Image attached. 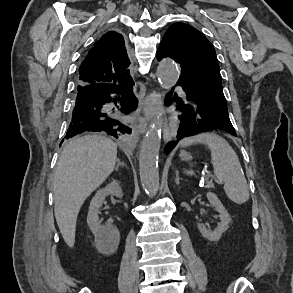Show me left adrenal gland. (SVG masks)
Masks as SVG:
<instances>
[{"label":"left adrenal gland","mask_w":293,"mask_h":293,"mask_svg":"<svg viewBox=\"0 0 293 293\" xmlns=\"http://www.w3.org/2000/svg\"><path fill=\"white\" fill-rule=\"evenodd\" d=\"M180 177H179V171L178 170H176V179H175V183H176V185H179V183H180Z\"/></svg>","instance_id":"left-adrenal-gland-1"}]
</instances>
